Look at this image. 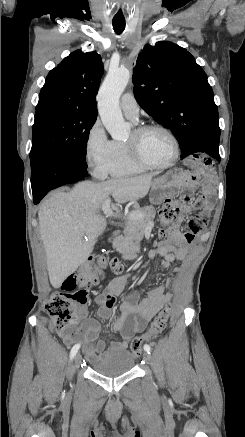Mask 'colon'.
I'll use <instances>...</instances> for the list:
<instances>
[{"label": "colon", "instance_id": "colon-1", "mask_svg": "<svg viewBox=\"0 0 245 437\" xmlns=\"http://www.w3.org/2000/svg\"><path fill=\"white\" fill-rule=\"evenodd\" d=\"M177 212L178 205L170 199L165 200L159 209L161 223L166 225L172 222ZM161 233L165 234V230L162 229ZM107 267L117 274L124 269L116 258L108 259L102 254L91 255L74 273L65 278L60 292L47 301L46 310L58 332L73 338L83 335V326H78L82 317L81 309L89 301V288L97 286L105 279ZM170 313L171 306L166 305L153 320L148 331L132 340L130 349L133 355L139 356L142 352V344L152 340L166 328Z\"/></svg>", "mask_w": 245, "mask_h": 437}]
</instances>
